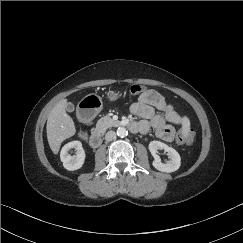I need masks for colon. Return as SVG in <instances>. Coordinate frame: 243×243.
Listing matches in <instances>:
<instances>
[{
	"instance_id": "5ec220e1",
	"label": "colon",
	"mask_w": 243,
	"mask_h": 243,
	"mask_svg": "<svg viewBox=\"0 0 243 243\" xmlns=\"http://www.w3.org/2000/svg\"><path fill=\"white\" fill-rule=\"evenodd\" d=\"M144 91H145V87L139 84H133L129 88V93L132 96H137L139 94H142ZM194 140H195V132L190 128L182 130L177 137V141L184 146L192 145L194 143Z\"/></svg>"
}]
</instances>
